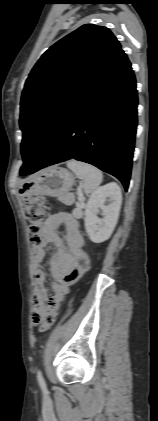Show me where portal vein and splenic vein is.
Masks as SVG:
<instances>
[{"mask_svg": "<svg viewBox=\"0 0 158 421\" xmlns=\"http://www.w3.org/2000/svg\"><path fill=\"white\" fill-rule=\"evenodd\" d=\"M83 198H82V196H81V194H79V200H82Z\"/></svg>", "mask_w": 158, "mask_h": 421, "instance_id": "obj_1", "label": "portal vein and splenic vein"}]
</instances>
